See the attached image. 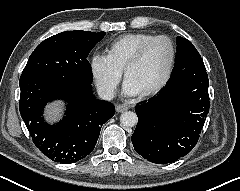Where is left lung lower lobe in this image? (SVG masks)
Segmentation results:
<instances>
[{
    "instance_id": "1",
    "label": "left lung lower lobe",
    "mask_w": 240,
    "mask_h": 191,
    "mask_svg": "<svg viewBox=\"0 0 240 191\" xmlns=\"http://www.w3.org/2000/svg\"><path fill=\"white\" fill-rule=\"evenodd\" d=\"M208 86L206 69L175 66L159 94L135 108L138 123L131 137L135 151L157 164L188 154L209 113Z\"/></svg>"
}]
</instances>
